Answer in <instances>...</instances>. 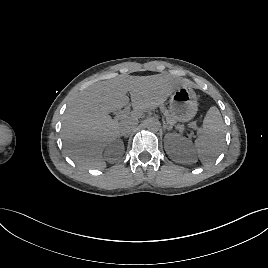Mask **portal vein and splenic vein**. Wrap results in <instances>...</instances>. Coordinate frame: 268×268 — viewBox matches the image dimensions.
I'll return each instance as SVG.
<instances>
[{"mask_svg": "<svg viewBox=\"0 0 268 268\" xmlns=\"http://www.w3.org/2000/svg\"><path fill=\"white\" fill-rule=\"evenodd\" d=\"M128 113H129V111H126V110L121 111V112H120V114H121L120 116L123 117V116H125V115L128 114Z\"/></svg>", "mask_w": 268, "mask_h": 268, "instance_id": "18ae733b", "label": "portal vein and splenic vein"}]
</instances>
